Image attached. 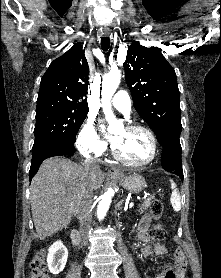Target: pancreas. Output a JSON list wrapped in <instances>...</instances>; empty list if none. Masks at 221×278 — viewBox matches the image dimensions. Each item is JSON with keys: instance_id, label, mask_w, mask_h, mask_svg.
Masks as SVG:
<instances>
[{"instance_id": "cf45deb5", "label": "pancreas", "mask_w": 221, "mask_h": 278, "mask_svg": "<svg viewBox=\"0 0 221 278\" xmlns=\"http://www.w3.org/2000/svg\"><path fill=\"white\" fill-rule=\"evenodd\" d=\"M149 207H151V199H147L146 201H144V203L139 207V212L143 213Z\"/></svg>"}]
</instances>
